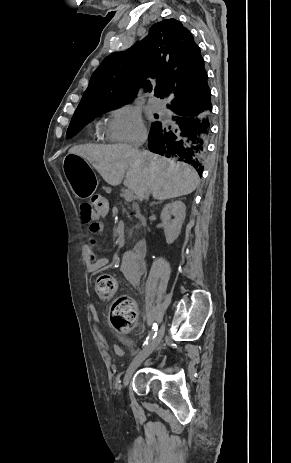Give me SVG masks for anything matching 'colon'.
<instances>
[{"instance_id":"obj_1","label":"colon","mask_w":291,"mask_h":463,"mask_svg":"<svg viewBox=\"0 0 291 463\" xmlns=\"http://www.w3.org/2000/svg\"><path fill=\"white\" fill-rule=\"evenodd\" d=\"M84 222H90L92 216L107 217L106 202L102 197L95 196L88 203L80 207ZM96 294L105 300H110V320L119 332H129L137 320V308L135 303L125 297L116 296L117 280L113 275L102 274L95 281Z\"/></svg>"}]
</instances>
